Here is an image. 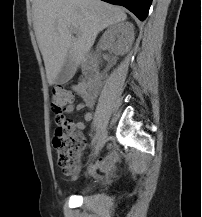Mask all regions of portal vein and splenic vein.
I'll return each instance as SVG.
<instances>
[{
  "instance_id": "obj_1",
  "label": "portal vein and splenic vein",
  "mask_w": 202,
  "mask_h": 217,
  "mask_svg": "<svg viewBox=\"0 0 202 217\" xmlns=\"http://www.w3.org/2000/svg\"><path fill=\"white\" fill-rule=\"evenodd\" d=\"M70 31H71L72 33H74V34H77V33H78L77 30L74 29V28H71Z\"/></svg>"
}]
</instances>
